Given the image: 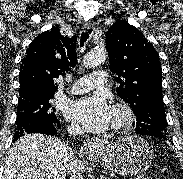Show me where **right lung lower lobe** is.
Instances as JSON below:
<instances>
[{
    "label": "right lung lower lobe",
    "mask_w": 183,
    "mask_h": 179,
    "mask_svg": "<svg viewBox=\"0 0 183 179\" xmlns=\"http://www.w3.org/2000/svg\"><path fill=\"white\" fill-rule=\"evenodd\" d=\"M61 127L60 122L57 121L56 123L52 125H40L35 127H30L27 129H24L22 131H19L18 134L14 135L13 141H16L18 138L25 134L30 133H41V134H47V135H57L58 129Z\"/></svg>",
    "instance_id": "1"
}]
</instances>
